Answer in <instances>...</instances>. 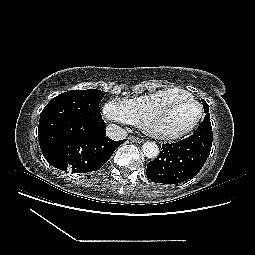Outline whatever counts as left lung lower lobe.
Listing matches in <instances>:
<instances>
[{"mask_svg": "<svg viewBox=\"0 0 255 255\" xmlns=\"http://www.w3.org/2000/svg\"><path fill=\"white\" fill-rule=\"evenodd\" d=\"M193 135L176 143L162 145L158 157L147 165V177L155 183L176 184L201 170L212 146L209 111Z\"/></svg>", "mask_w": 255, "mask_h": 255, "instance_id": "1", "label": "left lung lower lobe"}]
</instances>
